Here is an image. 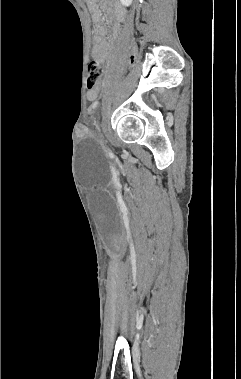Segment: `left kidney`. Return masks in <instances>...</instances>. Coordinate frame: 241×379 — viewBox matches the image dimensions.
<instances>
[{
    "instance_id": "left-kidney-1",
    "label": "left kidney",
    "mask_w": 241,
    "mask_h": 379,
    "mask_svg": "<svg viewBox=\"0 0 241 379\" xmlns=\"http://www.w3.org/2000/svg\"><path fill=\"white\" fill-rule=\"evenodd\" d=\"M123 6H129L132 3V0H120Z\"/></svg>"
}]
</instances>
